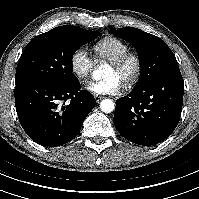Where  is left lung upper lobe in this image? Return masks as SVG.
Instances as JSON below:
<instances>
[{
	"label": "left lung upper lobe",
	"mask_w": 199,
	"mask_h": 199,
	"mask_svg": "<svg viewBox=\"0 0 199 199\" xmlns=\"http://www.w3.org/2000/svg\"><path fill=\"white\" fill-rule=\"evenodd\" d=\"M110 32L128 41L137 50L141 75L134 89L143 87L162 74L179 69L173 52L159 37L133 27L112 29Z\"/></svg>",
	"instance_id": "5c2ea615"
}]
</instances>
